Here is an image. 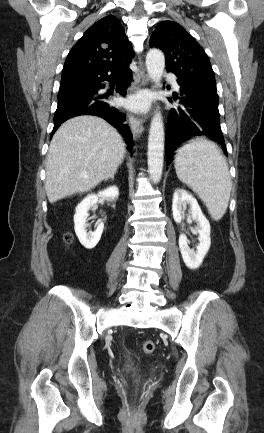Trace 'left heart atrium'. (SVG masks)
I'll list each match as a JSON object with an SVG mask.
<instances>
[{"label": "left heart atrium", "mask_w": 264, "mask_h": 433, "mask_svg": "<svg viewBox=\"0 0 264 433\" xmlns=\"http://www.w3.org/2000/svg\"><path fill=\"white\" fill-rule=\"evenodd\" d=\"M149 104V97L145 94H141L133 97L128 101V106L136 110H144Z\"/></svg>", "instance_id": "1"}]
</instances>
